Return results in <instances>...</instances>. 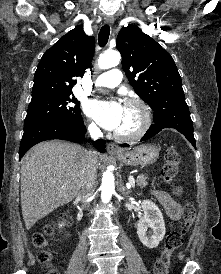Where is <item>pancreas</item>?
I'll list each match as a JSON object with an SVG mask.
<instances>
[{
	"label": "pancreas",
	"instance_id": "1",
	"mask_svg": "<svg viewBox=\"0 0 221 274\" xmlns=\"http://www.w3.org/2000/svg\"><path fill=\"white\" fill-rule=\"evenodd\" d=\"M147 179H148V176L143 175V174L139 175L136 179L137 186H139L141 188L146 187Z\"/></svg>",
	"mask_w": 221,
	"mask_h": 274
}]
</instances>
